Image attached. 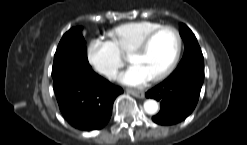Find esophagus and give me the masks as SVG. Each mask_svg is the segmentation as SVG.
I'll return each mask as SVG.
<instances>
[{
    "label": "esophagus",
    "mask_w": 247,
    "mask_h": 145,
    "mask_svg": "<svg viewBox=\"0 0 247 145\" xmlns=\"http://www.w3.org/2000/svg\"><path fill=\"white\" fill-rule=\"evenodd\" d=\"M128 94H131L137 98H144V93L142 91L134 90V89H126Z\"/></svg>",
    "instance_id": "34e87169"
}]
</instances>
